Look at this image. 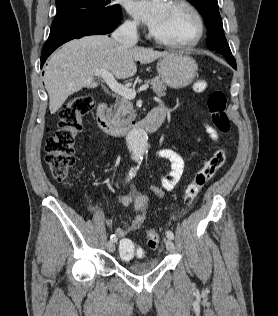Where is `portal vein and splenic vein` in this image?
<instances>
[{"mask_svg":"<svg viewBox=\"0 0 278 316\" xmlns=\"http://www.w3.org/2000/svg\"><path fill=\"white\" fill-rule=\"evenodd\" d=\"M94 75L95 76H99L102 77L105 82L107 83V85L109 86V88L121 95L122 97L126 98V99H134L136 97V91L135 89H132L130 87H126L120 83H118V81L114 78L113 74L107 70H103V69H98L94 71ZM149 85L148 84H143L139 87L137 92H141L144 91L146 89H148Z\"/></svg>","mask_w":278,"mask_h":316,"instance_id":"1","label":"portal vein and splenic vein"}]
</instances>
